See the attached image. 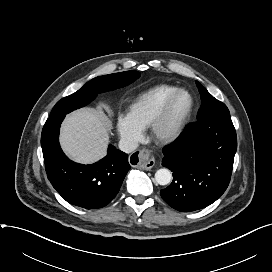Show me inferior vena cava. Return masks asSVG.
<instances>
[{
	"label": "inferior vena cava",
	"mask_w": 272,
	"mask_h": 272,
	"mask_svg": "<svg viewBox=\"0 0 272 272\" xmlns=\"http://www.w3.org/2000/svg\"><path fill=\"white\" fill-rule=\"evenodd\" d=\"M138 147L135 141L122 139L119 142V149L125 153H131Z\"/></svg>",
	"instance_id": "602c4592"
}]
</instances>
